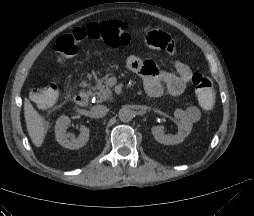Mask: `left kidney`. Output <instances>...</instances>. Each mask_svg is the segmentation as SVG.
Returning a JSON list of instances; mask_svg holds the SVG:
<instances>
[{
  "mask_svg": "<svg viewBox=\"0 0 254 216\" xmlns=\"http://www.w3.org/2000/svg\"><path fill=\"white\" fill-rule=\"evenodd\" d=\"M174 116L180 120L178 133L176 135H166L164 133V126H154L151 132L157 142L164 145H176L183 142L191 133L192 122L188 120L185 112L181 109H176L174 111Z\"/></svg>",
  "mask_w": 254,
  "mask_h": 216,
  "instance_id": "5707ae66",
  "label": "left kidney"
}]
</instances>
